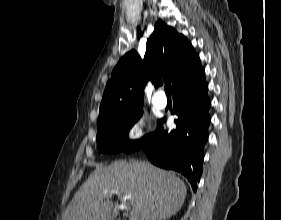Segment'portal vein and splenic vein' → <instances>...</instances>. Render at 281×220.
Listing matches in <instances>:
<instances>
[{"mask_svg": "<svg viewBox=\"0 0 281 220\" xmlns=\"http://www.w3.org/2000/svg\"><path fill=\"white\" fill-rule=\"evenodd\" d=\"M107 195H117L118 197H120L124 202L126 201H131L133 199V197L131 195H123L122 193L112 190V191H106L105 192ZM125 207V205L123 206Z\"/></svg>", "mask_w": 281, "mask_h": 220, "instance_id": "portal-vein-and-splenic-vein-1", "label": "portal vein and splenic vein"}]
</instances>
